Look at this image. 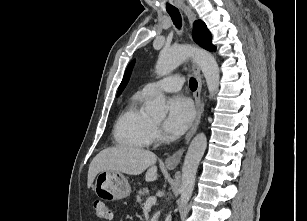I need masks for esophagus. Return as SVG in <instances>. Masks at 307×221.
<instances>
[{
  "label": "esophagus",
  "mask_w": 307,
  "mask_h": 221,
  "mask_svg": "<svg viewBox=\"0 0 307 221\" xmlns=\"http://www.w3.org/2000/svg\"><path fill=\"white\" fill-rule=\"evenodd\" d=\"M182 10L188 18L190 29H192L193 22L196 19L195 14L186 5H184L182 7ZM192 68H193V72L196 76L197 83H198L197 89L194 93V100H195V107H196V117H195L194 123H193L190 131L187 133V135L185 137V145H187L189 143L192 136L196 133L198 126L201 122L203 112H204V105H203V102L201 100L202 83H203L201 71H200L199 66L195 63L192 64ZM184 151H185V146L181 147L180 149L175 151L172 155L168 156L165 160V165L168 168H175L179 164V162H180V160L183 156Z\"/></svg>",
  "instance_id": "obj_1"
}]
</instances>
